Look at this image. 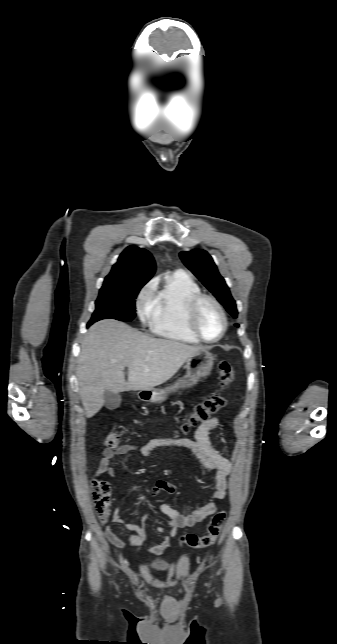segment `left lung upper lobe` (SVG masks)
<instances>
[{
    "label": "left lung upper lobe",
    "mask_w": 337,
    "mask_h": 644,
    "mask_svg": "<svg viewBox=\"0 0 337 644\" xmlns=\"http://www.w3.org/2000/svg\"><path fill=\"white\" fill-rule=\"evenodd\" d=\"M180 258L188 269L213 293L226 310L237 318V309L224 278L219 274L212 257L204 250L181 252ZM239 327L238 324H235Z\"/></svg>",
    "instance_id": "obj_1"
}]
</instances>
